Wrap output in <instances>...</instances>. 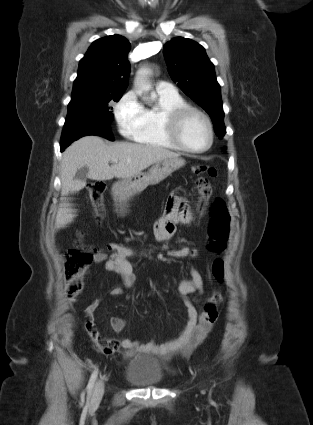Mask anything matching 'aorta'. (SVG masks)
Masks as SVG:
<instances>
[{
  "label": "aorta",
  "instance_id": "aorta-1",
  "mask_svg": "<svg viewBox=\"0 0 313 425\" xmlns=\"http://www.w3.org/2000/svg\"><path fill=\"white\" fill-rule=\"evenodd\" d=\"M150 74V70L145 67H141L135 76L134 79V88L136 93L142 97L143 100H148L145 94L151 89V85L149 83L148 77Z\"/></svg>",
  "mask_w": 313,
  "mask_h": 425
}]
</instances>
